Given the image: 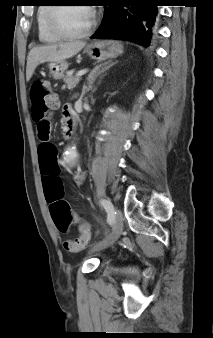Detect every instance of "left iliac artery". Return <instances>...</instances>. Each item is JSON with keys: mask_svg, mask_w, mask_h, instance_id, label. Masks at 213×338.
<instances>
[{"mask_svg": "<svg viewBox=\"0 0 213 338\" xmlns=\"http://www.w3.org/2000/svg\"><path fill=\"white\" fill-rule=\"evenodd\" d=\"M100 204L105 208L108 214V217H107L108 222H112L114 220V215H115V211H114L112 203L108 199H101Z\"/></svg>", "mask_w": 213, "mask_h": 338, "instance_id": "1", "label": "left iliac artery"}]
</instances>
